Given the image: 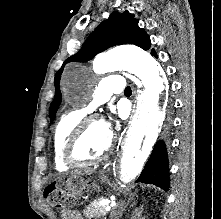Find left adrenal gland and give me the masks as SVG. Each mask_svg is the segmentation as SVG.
Masks as SVG:
<instances>
[{"label": "left adrenal gland", "instance_id": "1", "mask_svg": "<svg viewBox=\"0 0 221 219\" xmlns=\"http://www.w3.org/2000/svg\"><path fill=\"white\" fill-rule=\"evenodd\" d=\"M124 202H122L120 205H117L115 208H117L118 207V212L117 211H114L113 213H112V217H114V219H119V217L120 216H122V212L124 211V208H123V206H124Z\"/></svg>", "mask_w": 221, "mask_h": 219}]
</instances>
